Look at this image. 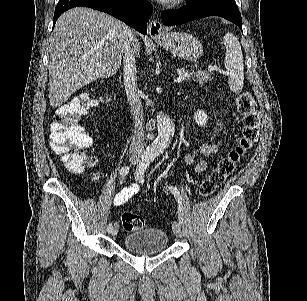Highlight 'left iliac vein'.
I'll return each instance as SVG.
<instances>
[{"mask_svg":"<svg viewBox=\"0 0 307 301\" xmlns=\"http://www.w3.org/2000/svg\"><path fill=\"white\" fill-rule=\"evenodd\" d=\"M172 228H173V232H174L175 236L178 237V238H181L182 237V228H181L180 223L178 221H174Z\"/></svg>","mask_w":307,"mask_h":301,"instance_id":"1","label":"left iliac vein"}]
</instances>
